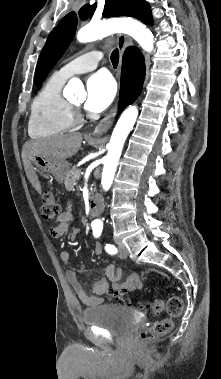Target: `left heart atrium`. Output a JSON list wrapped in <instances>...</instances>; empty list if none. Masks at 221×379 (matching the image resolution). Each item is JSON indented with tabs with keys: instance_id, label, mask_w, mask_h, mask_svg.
Returning a JSON list of instances; mask_svg holds the SVG:
<instances>
[{
	"instance_id": "left-heart-atrium-1",
	"label": "left heart atrium",
	"mask_w": 221,
	"mask_h": 379,
	"mask_svg": "<svg viewBox=\"0 0 221 379\" xmlns=\"http://www.w3.org/2000/svg\"><path fill=\"white\" fill-rule=\"evenodd\" d=\"M86 90L85 108L98 113L112 103L116 94V84L108 73L98 72L88 79Z\"/></svg>"
}]
</instances>
